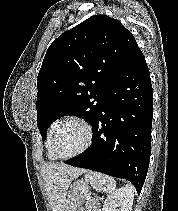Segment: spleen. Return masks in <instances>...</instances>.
I'll return each mask as SVG.
<instances>
[{"instance_id": "1", "label": "spleen", "mask_w": 178, "mask_h": 211, "mask_svg": "<svg viewBox=\"0 0 178 211\" xmlns=\"http://www.w3.org/2000/svg\"><path fill=\"white\" fill-rule=\"evenodd\" d=\"M85 179L96 191H104L110 195L116 191L115 180L106 174L89 171L86 173Z\"/></svg>"}]
</instances>
